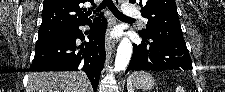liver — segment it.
I'll use <instances>...</instances> for the list:
<instances>
[{
	"instance_id": "1",
	"label": "liver",
	"mask_w": 225,
	"mask_h": 92,
	"mask_svg": "<svg viewBox=\"0 0 225 92\" xmlns=\"http://www.w3.org/2000/svg\"><path fill=\"white\" fill-rule=\"evenodd\" d=\"M28 92H92L83 72H34L29 74Z\"/></svg>"
}]
</instances>
